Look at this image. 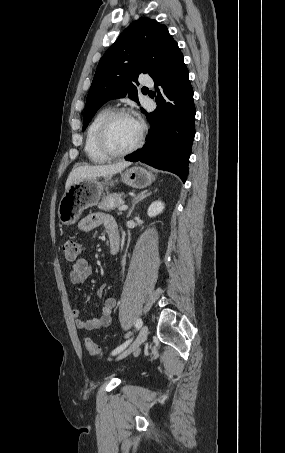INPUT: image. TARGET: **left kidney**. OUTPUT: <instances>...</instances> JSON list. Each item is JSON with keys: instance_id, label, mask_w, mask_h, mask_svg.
<instances>
[{"instance_id": "5707ae66", "label": "left kidney", "mask_w": 285, "mask_h": 453, "mask_svg": "<svg viewBox=\"0 0 285 453\" xmlns=\"http://www.w3.org/2000/svg\"><path fill=\"white\" fill-rule=\"evenodd\" d=\"M164 210V203H162L161 201H155L153 202L149 208H148V211H147V214L149 217H155L157 215H159L160 213H162Z\"/></svg>"}]
</instances>
